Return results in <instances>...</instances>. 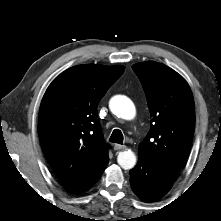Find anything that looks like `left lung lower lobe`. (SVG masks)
Returning <instances> with one entry per match:
<instances>
[{"mask_svg":"<svg viewBox=\"0 0 221 221\" xmlns=\"http://www.w3.org/2000/svg\"><path fill=\"white\" fill-rule=\"evenodd\" d=\"M176 175V172L139 155L137 165L130 170V184L139 198L155 201L171 189Z\"/></svg>","mask_w":221,"mask_h":221,"instance_id":"obj_1","label":"left lung lower lobe"}]
</instances>
